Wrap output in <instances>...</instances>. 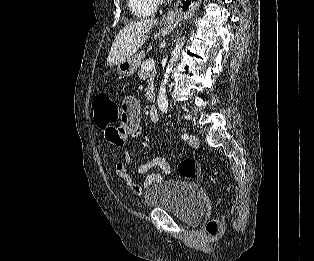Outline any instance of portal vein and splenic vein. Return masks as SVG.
I'll use <instances>...</instances> for the list:
<instances>
[{
    "label": "portal vein and splenic vein",
    "instance_id": "18ae733b",
    "mask_svg": "<svg viewBox=\"0 0 314 261\" xmlns=\"http://www.w3.org/2000/svg\"><path fill=\"white\" fill-rule=\"evenodd\" d=\"M154 67H155V63H154V60H152V59L146 61L144 64V68L147 71H152L154 69Z\"/></svg>",
    "mask_w": 314,
    "mask_h": 261
}]
</instances>
